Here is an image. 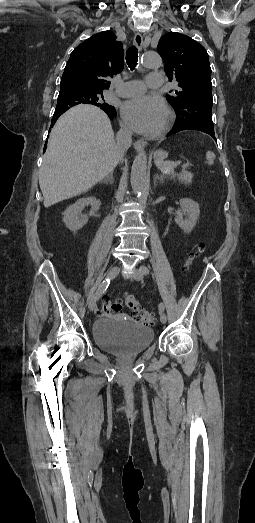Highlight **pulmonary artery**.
<instances>
[{"label": "pulmonary artery", "mask_w": 255, "mask_h": 523, "mask_svg": "<svg viewBox=\"0 0 255 523\" xmlns=\"http://www.w3.org/2000/svg\"><path fill=\"white\" fill-rule=\"evenodd\" d=\"M163 77L160 72L155 71L151 75L146 77L145 82L140 80H132L124 83L119 87L116 93L122 97L133 96L135 100H140L142 98V92L147 89L153 92L160 90Z\"/></svg>", "instance_id": "e3ab8cb5"}]
</instances>
